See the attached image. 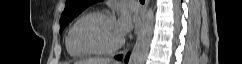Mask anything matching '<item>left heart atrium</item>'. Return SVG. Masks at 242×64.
<instances>
[{"label": "left heart atrium", "mask_w": 242, "mask_h": 64, "mask_svg": "<svg viewBox=\"0 0 242 64\" xmlns=\"http://www.w3.org/2000/svg\"><path fill=\"white\" fill-rule=\"evenodd\" d=\"M115 24L119 34L123 38L132 29V16L127 11L123 10L120 12L118 18L115 20Z\"/></svg>", "instance_id": "obj_1"}]
</instances>
